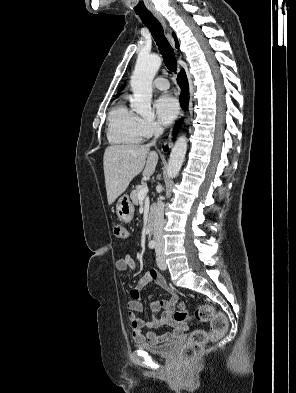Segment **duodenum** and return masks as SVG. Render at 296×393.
<instances>
[{
  "label": "duodenum",
  "mask_w": 296,
  "mask_h": 393,
  "mask_svg": "<svg viewBox=\"0 0 296 393\" xmlns=\"http://www.w3.org/2000/svg\"><path fill=\"white\" fill-rule=\"evenodd\" d=\"M153 231H154L153 222H152V220H151V221L149 222V224H148V230H147V236H148L149 238L153 236Z\"/></svg>",
  "instance_id": "duodenum-1"
}]
</instances>
